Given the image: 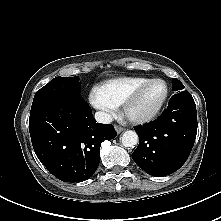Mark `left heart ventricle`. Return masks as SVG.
I'll return each instance as SVG.
<instances>
[{
	"instance_id": "obj_1",
	"label": "left heart ventricle",
	"mask_w": 221,
	"mask_h": 221,
	"mask_svg": "<svg viewBox=\"0 0 221 221\" xmlns=\"http://www.w3.org/2000/svg\"><path fill=\"white\" fill-rule=\"evenodd\" d=\"M164 95V86L161 83H154L148 86L142 93L138 102L133 106V116H143L150 113L161 101Z\"/></svg>"
}]
</instances>
